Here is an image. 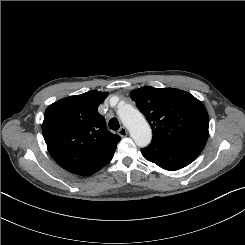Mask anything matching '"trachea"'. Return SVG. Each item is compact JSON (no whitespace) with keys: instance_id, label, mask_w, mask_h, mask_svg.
<instances>
[{"instance_id":"1","label":"trachea","mask_w":245,"mask_h":245,"mask_svg":"<svg viewBox=\"0 0 245 245\" xmlns=\"http://www.w3.org/2000/svg\"><path fill=\"white\" fill-rule=\"evenodd\" d=\"M120 127L119 125V121L117 118H112L110 121H109V128L112 129V130H118Z\"/></svg>"}]
</instances>
